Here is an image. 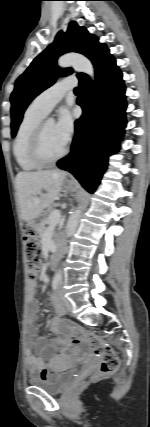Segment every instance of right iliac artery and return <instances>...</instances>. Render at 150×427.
Listing matches in <instances>:
<instances>
[{
	"instance_id": "1",
	"label": "right iliac artery",
	"mask_w": 150,
	"mask_h": 427,
	"mask_svg": "<svg viewBox=\"0 0 150 427\" xmlns=\"http://www.w3.org/2000/svg\"><path fill=\"white\" fill-rule=\"evenodd\" d=\"M52 287H53L54 290H57V288H58V281L57 280H54L52 282Z\"/></svg>"
}]
</instances>
